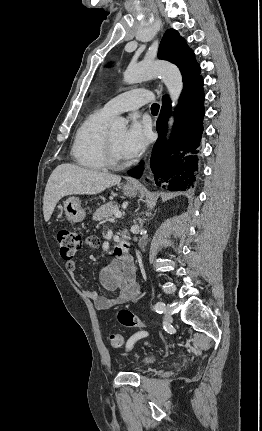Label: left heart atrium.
I'll list each match as a JSON object with an SVG mask.
<instances>
[{"label":"left heart atrium","mask_w":262,"mask_h":431,"mask_svg":"<svg viewBox=\"0 0 262 431\" xmlns=\"http://www.w3.org/2000/svg\"><path fill=\"white\" fill-rule=\"evenodd\" d=\"M149 138V127L134 118L120 141L121 154L128 159L139 156L146 148Z\"/></svg>","instance_id":"1"}]
</instances>
